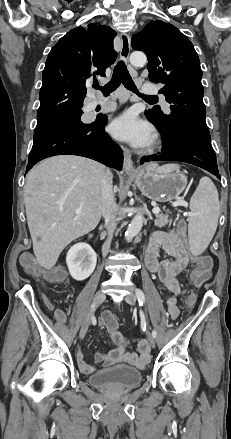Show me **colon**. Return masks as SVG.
I'll use <instances>...</instances> for the list:
<instances>
[{
    "mask_svg": "<svg viewBox=\"0 0 231 439\" xmlns=\"http://www.w3.org/2000/svg\"><path fill=\"white\" fill-rule=\"evenodd\" d=\"M179 233L185 237L186 234V222L181 220L178 223ZM22 266L24 269L34 276H43L48 281L53 283L62 282L66 277V271L63 267H54L48 271L41 269L31 256H24L22 258ZM194 269L192 272V282L195 290H200L203 285H206L210 279V272L212 269V258L208 255H199L194 258ZM184 309L187 312H191L194 309V303L197 301L196 293L184 294Z\"/></svg>",
    "mask_w": 231,
    "mask_h": 439,
    "instance_id": "1",
    "label": "colon"
}]
</instances>
